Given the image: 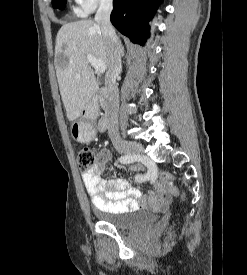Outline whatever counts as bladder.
<instances>
[{"label": "bladder", "instance_id": "obj_1", "mask_svg": "<svg viewBox=\"0 0 247 275\" xmlns=\"http://www.w3.org/2000/svg\"><path fill=\"white\" fill-rule=\"evenodd\" d=\"M92 212L100 222L112 225L118 229H127L142 225H153L157 221V215L155 213L142 209L110 212L93 207Z\"/></svg>", "mask_w": 247, "mask_h": 275}]
</instances>
